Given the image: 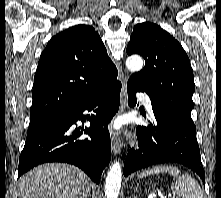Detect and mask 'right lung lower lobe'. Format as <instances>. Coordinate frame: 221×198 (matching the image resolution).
Segmentation results:
<instances>
[{"label": "right lung lower lobe", "mask_w": 221, "mask_h": 198, "mask_svg": "<svg viewBox=\"0 0 221 198\" xmlns=\"http://www.w3.org/2000/svg\"><path fill=\"white\" fill-rule=\"evenodd\" d=\"M120 90L117 81L78 107L29 128L18 177L42 163L64 162L78 166L99 184L110 162L111 142L106 127L119 109ZM84 111L93 114L85 116ZM77 120H89L90 127H75ZM83 133L90 138L79 139Z\"/></svg>", "instance_id": "obj_1"}]
</instances>
